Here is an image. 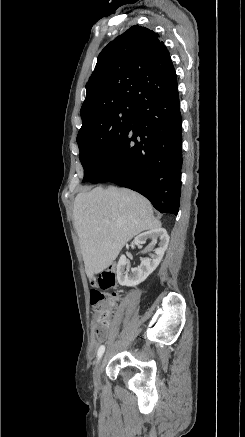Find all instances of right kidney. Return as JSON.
Wrapping results in <instances>:
<instances>
[{"label": "right kidney", "mask_w": 245, "mask_h": 437, "mask_svg": "<svg viewBox=\"0 0 245 437\" xmlns=\"http://www.w3.org/2000/svg\"><path fill=\"white\" fill-rule=\"evenodd\" d=\"M147 239H152V244L146 249L151 252L153 245L157 242L158 248L154 254H149L150 258H143L137 268L130 269V263L125 255H122L117 264V280L122 286L133 287L145 281L147 277L157 268L161 262L169 243V236L164 228H156L139 234L132 242L131 247L144 244Z\"/></svg>", "instance_id": "right-kidney-1"}]
</instances>
